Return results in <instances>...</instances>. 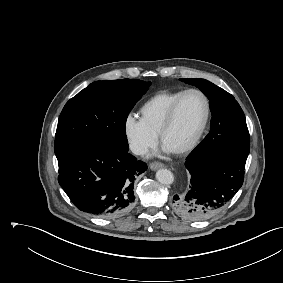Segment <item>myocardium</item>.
Here are the masks:
<instances>
[{"label":"myocardium","instance_id":"myocardium-1","mask_svg":"<svg viewBox=\"0 0 283 283\" xmlns=\"http://www.w3.org/2000/svg\"><path fill=\"white\" fill-rule=\"evenodd\" d=\"M189 94H198L202 97V99L204 100V103H205V115H204L203 122H202L196 136L193 138V140L188 145H186L185 147H183V148H181L177 151H174V153H176L178 155L186 154V153L192 151L194 148L197 147V145L200 143V141H201V139H202L207 127H208L210 117H211V103H210L208 96L200 89H195V88L187 89L175 100V102L170 107V109H169V111L166 115V118H165V120H164V122H163V124H162V126L159 130V133H158L160 141L163 143L165 134L167 133V131L171 128V126L174 123V120H175V117H176V114H177V111L179 109L181 102Z\"/></svg>","mask_w":283,"mask_h":283}]
</instances>
